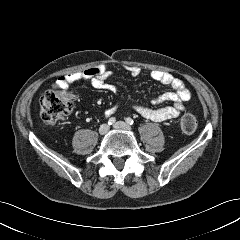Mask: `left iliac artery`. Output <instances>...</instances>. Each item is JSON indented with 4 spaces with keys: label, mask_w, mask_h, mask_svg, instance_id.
Wrapping results in <instances>:
<instances>
[{
    "label": "left iliac artery",
    "mask_w": 240,
    "mask_h": 240,
    "mask_svg": "<svg viewBox=\"0 0 240 240\" xmlns=\"http://www.w3.org/2000/svg\"><path fill=\"white\" fill-rule=\"evenodd\" d=\"M126 122H127L129 125H133V123H134L133 119H131L130 117H128V118L126 119Z\"/></svg>",
    "instance_id": "44dca946"
}]
</instances>
